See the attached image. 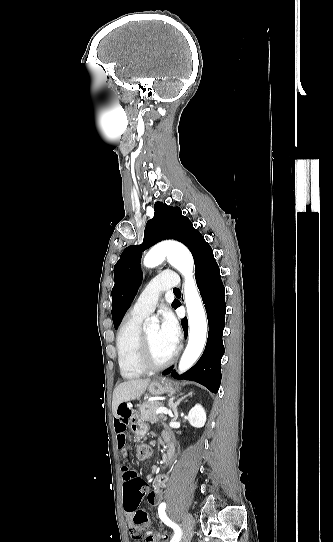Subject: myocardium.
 Here are the masks:
<instances>
[{
	"mask_svg": "<svg viewBox=\"0 0 333 542\" xmlns=\"http://www.w3.org/2000/svg\"><path fill=\"white\" fill-rule=\"evenodd\" d=\"M179 353V348L177 347L173 354L165 361L163 362H155L151 358L150 348L148 339L146 336V333H141L137 349H136V362L138 366L144 371V372H156L159 370H162L168 366H170L174 361L176 360Z\"/></svg>",
	"mask_w": 333,
	"mask_h": 542,
	"instance_id": "obj_1",
	"label": "myocardium"
}]
</instances>
